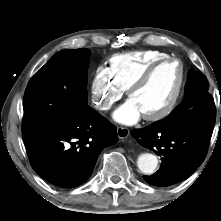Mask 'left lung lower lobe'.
Returning a JSON list of instances; mask_svg holds the SVG:
<instances>
[{
  "instance_id": "left-lung-lower-lobe-1",
  "label": "left lung lower lobe",
  "mask_w": 221,
  "mask_h": 221,
  "mask_svg": "<svg viewBox=\"0 0 221 221\" xmlns=\"http://www.w3.org/2000/svg\"><path fill=\"white\" fill-rule=\"evenodd\" d=\"M213 129L184 126L163 129L155 123L131 131L143 146L161 156L160 169L144 180L154 186L176 184L191 175L206 157Z\"/></svg>"
}]
</instances>
